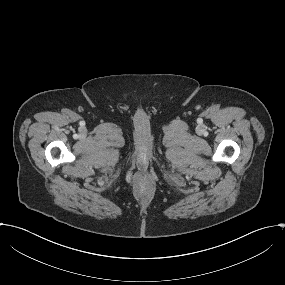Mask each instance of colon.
<instances>
[{"label": "colon", "instance_id": "obj_1", "mask_svg": "<svg viewBox=\"0 0 285 285\" xmlns=\"http://www.w3.org/2000/svg\"><path fill=\"white\" fill-rule=\"evenodd\" d=\"M137 184L140 188L147 189L150 186V181L146 176H140L137 179Z\"/></svg>", "mask_w": 285, "mask_h": 285}]
</instances>
